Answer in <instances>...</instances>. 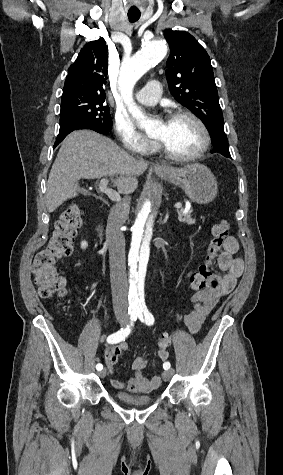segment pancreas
Masks as SVG:
<instances>
[{
  "instance_id": "cf45deb5",
  "label": "pancreas",
  "mask_w": 283,
  "mask_h": 475,
  "mask_svg": "<svg viewBox=\"0 0 283 475\" xmlns=\"http://www.w3.org/2000/svg\"><path fill=\"white\" fill-rule=\"evenodd\" d=\"M192 212L193 210H189L187 214H184V208H181V210H177L179 222H183V224H188V226H191V224H195L196 220L192 218Z\"/></svg>"
}]
</instances>
